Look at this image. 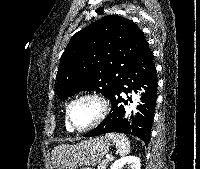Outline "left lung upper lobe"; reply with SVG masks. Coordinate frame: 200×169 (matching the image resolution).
Listing matches in <instances>:
<instances>
[{
  "label": "left lung upper lobe",
  "instance_id": "5c2ea615",
  "mask_svg": "<svg viewBox=\"0 0 200 169\" xmlns=\"http://www.w3.org/2000/svg\"><path fill=\"white\" fill-rule=\"evenodd\" d=\"M148 50L143 32L131 20L105 16L72 37L61 56L56 93L67 99L78 91H98L109 98Z\"/></svg>",
  "mask_w": 200,
  "mask_h": 169
}]
</instances>
